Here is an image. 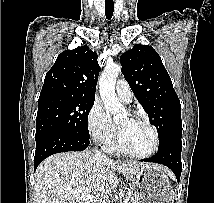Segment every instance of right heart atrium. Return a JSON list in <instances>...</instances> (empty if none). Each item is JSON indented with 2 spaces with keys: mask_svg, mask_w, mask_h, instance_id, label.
<instances>
[{
  "mask_svg": "<svg viewBox=\"0 0 214 203\" xmlns=\"http://www.w3.org/2000/svg\"><path fill=\"white\" fill-rule=\"evenodd\" d=\"M90 136L97 142L109 145L116 136V126L105 113L99 102H94L87 116Z\"/></svg>",
  "mask_w": 214,
  "mask_h": 203,
  "instance_id": "right-heart-atrium-1",
  "label": "right heart atrium"
}]
</instances>
